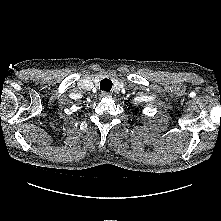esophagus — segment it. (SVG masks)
Masks as SVG:
<instances>
[{
  "instance_id": "1",
  "label": "esophagus",
  "mask_w": 221,
  "mask_h": 221,
  "mask_svg": "<svg viewBox=\"0 0 221 221\" xmlns=\"http://www.w3.org/2000/svg\"><path fill=\"white\" fill-rule=\"evenodd\" d=\"M101 96H102V97H111V95H110L108 92H105V91H103V92L101 93Z\"/></svg>"
}]
</instances>
